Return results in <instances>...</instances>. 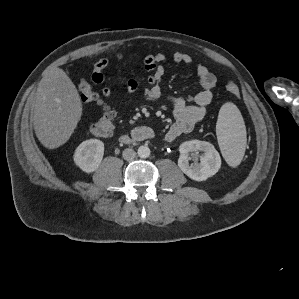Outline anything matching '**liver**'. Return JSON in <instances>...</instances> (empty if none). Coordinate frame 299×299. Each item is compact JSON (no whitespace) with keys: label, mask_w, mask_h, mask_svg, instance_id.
<instances>
[{"label":"liver","mask_w":299,"mask_h":299,"mask_svg":"<svg viewBox=\"0 0 299 299\" xmlns=\"http://www.w3.org/2000/svg\"><path fill=\"white\" fill-rule=\"evenodd\" d=\"M82 116L79 93L60 68L46 70L39 82L33 106L35 134L41 144L55 149L66 143Z\"/></svg>","instance_id":"1"}]
</instances>
